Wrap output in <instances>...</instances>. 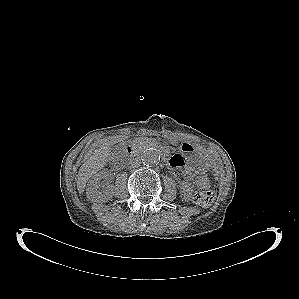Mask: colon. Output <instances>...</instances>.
Segmentation results:
<instances>
[{
	"mask_svg": "<svg viewBox=\"0 0 299 299\" xmlns=\"http://www.w3.org/2000/svg\"><path fill=\"white\" fill-rule=\"evenodd\" d=\"M196 183L200 187V190L193 195V201L195 204L201 207H208L214 201V192L209 188V178L206 174L201 173L196 177Z\"/></svg>",
	"mask_w": 299,
	"mask_h": 299,
	"instance_id": "1",
	"label": "colon"
}]
</instances>
